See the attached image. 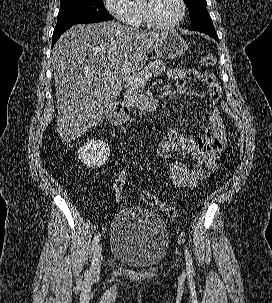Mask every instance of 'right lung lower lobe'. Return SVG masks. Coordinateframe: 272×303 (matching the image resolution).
Here are the masks:
<instances>
[{
  "mask_svg": "<svg viewBox=\"0 0 272 303\" xmlns=\"http://www.w3.org/2000/svg\"><path fill=\"white\" fill-rule=\"evenodd\" d=\"M67 29H64V30H61V31H58V32H53L52 47L54 46V44L56 43V41L58 40V38L61 36V34L63 32H65Z\"/></svg>",
  "mask_w": 272,
  "mask_h": 303,
  "instance_id": "right-lung-lower-lobe-1",
  "label": "right lung lower lobe"
}]
</instances>
